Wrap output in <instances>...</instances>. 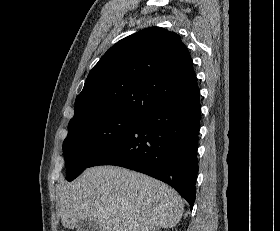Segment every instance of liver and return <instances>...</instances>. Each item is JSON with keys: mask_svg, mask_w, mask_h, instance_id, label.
I'll return each mask as SVG.
<instances>
[{"mask_svg": "<svg viewBox=\"0 0 280 231\" xmlns=\"http://www.w3.org/2000/svg\"><path fill=\"white\" fill-rule=\"evenodd\" d=\"M57 207L65 227L94 219L101 231H155L179 223L184 203L167 183L117 165L88 167L61 185Z\"/></svg>", "mask_w": 280, "mask_h": 231, "instance_id": "liver-1", "label": "liver"}]
</instances>
